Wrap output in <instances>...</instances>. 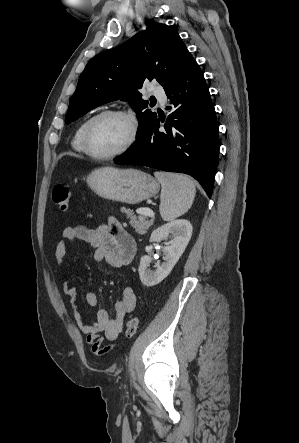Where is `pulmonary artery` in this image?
Returning a JSON list of instances; mask_svg holds the SVG:
<instances>
[{
  "label": "pulmonary artery",
  "instance_id": "obj_1",
  "mask_svg": "<svg viewBox=\"0 0 299 443\" xmlns=\"http://www.w3.org/2000/svg\"><path fill=\"white\" fill-rule=\"evenodd\" d=\"M152 94H153L156 98H158V99L161 101V103H162L163 105L166 103V101H167V97H166V94H165L163 88H161V87H159V86H155V87L152 89Z\"/></svg>",
  "mask_w": 299,
  "mask_h": 443
}]
</instances>
